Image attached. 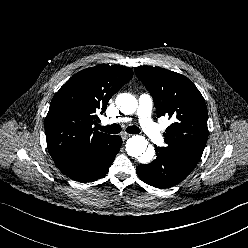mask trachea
Segmentation results:
<instances>
[{"label":"trachea","instance_id":"trachea-1","mask_svg":"<svg viewBox=\"0 0 248 248\" xmlns=\"http://www.w3.org/2000/svg\"><path fill=\"white\" fill-rule=\"evenodd\" d=\"M99 130L104 131L110 134H117L121 131V127L118 124H112L109 126H99ZM126 131L130 134H137L140 132V129L136 126H129Z\"/></svg>","mask_w":248,"mask_h":248}]
</instances>
